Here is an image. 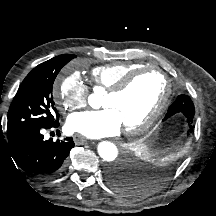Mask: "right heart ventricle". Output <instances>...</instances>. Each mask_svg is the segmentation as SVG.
I'll return each instance as SVG.
<instances>
[{"label":"right heart ventricle","mask_w":216,"mask_h":216,"mask_svg":"<svg viewBox=\"0 0 216 216\" xmlns=\"http://www.w3.org/2000/svg\"><path fill=\"white\" fill-rule=\"evenodd\" d=\"M142 67L135 62L119 61L99 65L91 70V78L95 87L109 90L128 73Z\"/></svg>","instance_id":"1"}]
</instances>
